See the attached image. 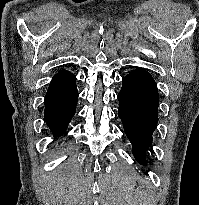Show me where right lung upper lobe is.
<instances>
[{"instance_id": "obj_1", "label": "right lung upper lobe", "mask_w": 199, "mask_h": 205, "mask_svg": "<svg viewBox=\"0 0 199 205\" xmlns=\"http://www.w3.org/2000/svg\"><path fill=\"white\" fill-rule=\"evenodd\" d=\"M59 73H68L66 70H61Z\"/></svg>"}]
</instances>
